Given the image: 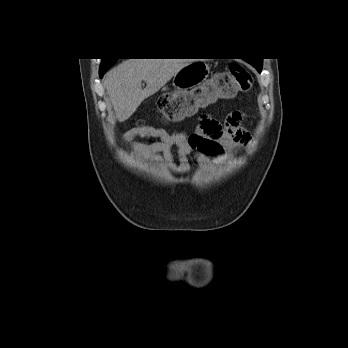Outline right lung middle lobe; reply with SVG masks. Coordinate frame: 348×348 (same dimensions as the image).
Listing matches in <instances>:
<instances>
[{
    "instance_id": "obj_1",
    "label": "right lung middle lobe",
    "mask_w": 348,
    "mask_h": 348,
    "mask_svg": "<svg viewBox=\"0 0 348 348\" xmlns=\"http://www.w3.org/2000/svg\"><path fill=\"white\" fill-rule=\"evenodd\" d=\"M117 59H103L100 68H110Z\"/></svg>"
}]
</instances>
